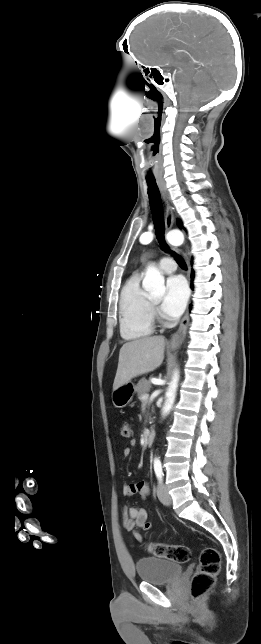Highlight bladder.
<instances>
[{"label":"bladder","instance_id":"1","mask_svg":"<svg viewBox=\"0 0 261 644\" xmlns=\"http://www.w3.org/2000/svg\"><path fill=\"white\" fill-rule=\"evenodd\" d=\"M183 567L176 562L158 557H143L136 562V572L141 581L151 584H168L182 574Z\"/></svg>","mask_w":261,"mask_h":644}]
</instances>
